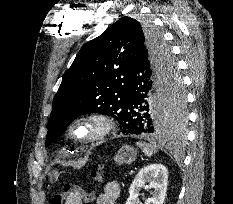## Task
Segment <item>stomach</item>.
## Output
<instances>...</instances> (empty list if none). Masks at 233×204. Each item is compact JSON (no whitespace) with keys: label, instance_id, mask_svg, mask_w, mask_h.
I'll return each instance as SVG.
<instances>
[{"label":"stomach","instance_id":"1","mask_svg":"<svg viewBox=\"0 0 233 204\" xmlns=\"http://www.w3.org/2000/svg\"><path fill=\"white\" fill-rule=\"evenodd\" d=\"M136 156H137V152L133 147L129 145H124L116 153L114 157V161L118 165L131 164L136 160ZM48 175H49L50 181L57 180L59 177V173L57 170L51 171Z\"/></svg>","mask_w":233,"mask_h":204}]
</instances>
